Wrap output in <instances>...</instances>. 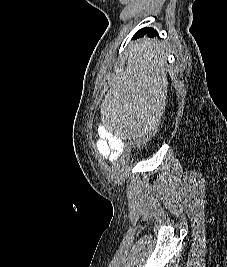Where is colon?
Here are the masks:
<instances>
[{
  "label": "colon",
  "mask_w": 227,
  "mask_h": 267,
  "mask_svg": "<svg viewBox=\"0 0 227 267\" xmlns=\"http://www.w3.org/2000/svg\"><path fill=\"white\" fill-rule=\"evenodd\" d=\"M156 118H162L163 114L160 113V115H154ZM161 128L160 121H157V123L153 124V130H149L146 135H144L140 140H136L135 143V149L131 150L130 153V159L133 158H139V156H142L144 152H146V147L148 144H150V140L154 139V136H156V131H159Z\"/></svg>",
  "instance_id": "1"
}]
</instances>
